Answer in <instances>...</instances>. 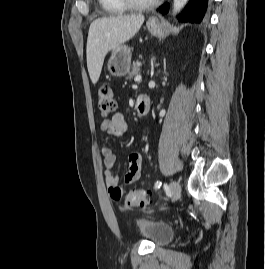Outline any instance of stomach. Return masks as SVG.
<instances>
[{
	"mask_svg": "<svg viewBox=\"0 0 265 269\" xmlns=\"http://www.w3.org/2000/svg\"><path fill=\"white\" fill-rule=\"evenodd\" d=\"M146 27L156 37H162L164 35L165 24L156 17L150 18L146 23ZM130 66L131 51L128 46L120 45L112 50L111 57L108 60V70L112 76H125L129 72Z\"/></svg>",
	"mask_w": 265,
	"mask_h": 269,
	"instance_id": "0dacf381",
	"label": "stomach"
}]
</instances>
